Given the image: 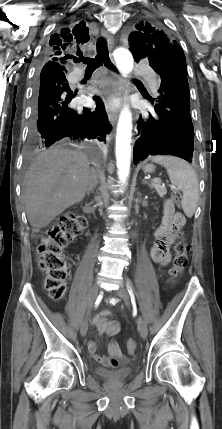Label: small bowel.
Returning <instances> with one entry per match:
<instances>
[{
	"label": "small bowel",
	"instance_id": "small-bowel-1",
	"mask_svg": "<svg viewBox=\"0 0 222 429\" xmlns=\"http://www.w3.org/2000/svg\"><path fill=\"white\" fill-rule=\"evenodd\" d=\"M185 217L182 213L176 212L173 202L167 201L163 209V217L160 225L154 230L156 242L151 248V259L162 266L167 265L171 260V246L179 236L180 229L185 225ZM93 325L100 333L115 336L120 331V323L111 318L108 310L101 311L93 318ZM88 351L92 358L105 367L117 368L125 364L128 359L123 354L119 344L112 340L108 344V355L97 353V343L89 340Z\"/></svg>",
	"mask_w": 222,
	"mask_h": 429
}]
</instances>
